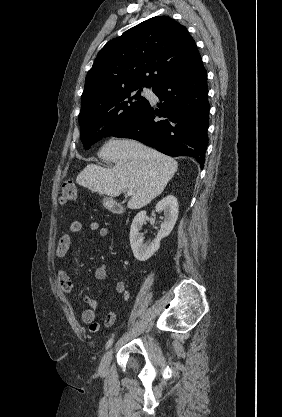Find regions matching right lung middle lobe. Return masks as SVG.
I'll return each mask as SVG.
<instances>
[{
  "label": "right lung middle lobe",
  "mask_w": 282,
  "mask_h": 417,
  "mask_svg": "<svg viewBox=\"0 0 282 417\" xmlns=\"http://www.w3.org/2000/svg\"><path fill=\"white\" fill-rule=\"evenodd\" d=\"M142 88L101 93L81 101L79 124L86 150L103 137L112 136L132 122L149 104Z\"/></svg>",
  "instance_id": "obj_1"
}]
</instances>
